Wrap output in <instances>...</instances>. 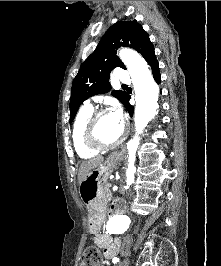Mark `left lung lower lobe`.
<instances>
[{
    "instance_id": "0a47b994",
    "label": "left lung lower lobe",
    "mask_w": 221,
    "mask_h": 266,
    "mask_svg": "<svg viewBox=\"0 0 221 266\" xmlns=\"http://www.w3.org/2000/svg\"><path fill=\"white\" fill-rule=\"evenodd\" d=\"M151 69H152V74H153V78L154 80L160 84L161 82V75H160V72H159V65H158V61H155L152 65H151ZM129 99L130 97L127 96L126 100H125V103H124V106L126 107V109L128 110L130 116L132 117L133 116V106L129 104Z\"/></svg>"
}]
</instances>
